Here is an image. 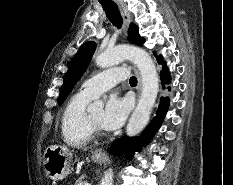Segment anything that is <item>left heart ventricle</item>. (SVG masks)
<instances>
[{"label":"left heart ventricle","mask_w":233,"mask_h":185,"mask_svg":"<svg viewBox=\"0 0 233 185\" xmlns=\"http://www.w3.org/2000/svg\"><path fill=\"white\" fill-rule=\"evenodd\" d=\"M102 113H103L102 109H98L90 113V116L93 119V121L96 122L99 126H101L100 121H101Z\"/></svg>","instance_id":"obj_1"}]
</instances>
